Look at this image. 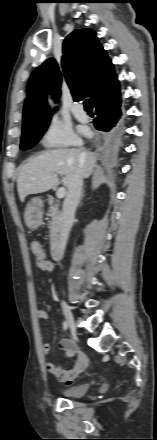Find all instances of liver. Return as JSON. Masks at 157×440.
Instances as JSON below:
<instances>
[{
	"instance_id": "obj_1",
	"label": "liver",
	"mask_w": 157,
	"mask_h": 440,
	"mask_svg": "<svg viewBox=\"0 0 157 440\" xmlns=\"http://www.w3.org/2000/svg\"><path fill=\"white\" fill-rule=\"evenodd\" d=\"M96 160L95 153L76 148L48 150L30 158L20 167L17 178L20 200L52 189L59 182L58 175H65L63 185L67 188L78 171L82 178H88Z\"/></svg>"
}]
</instances>
